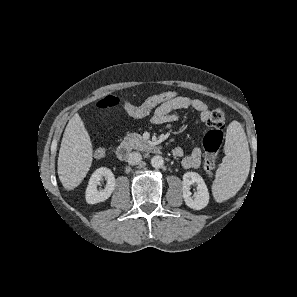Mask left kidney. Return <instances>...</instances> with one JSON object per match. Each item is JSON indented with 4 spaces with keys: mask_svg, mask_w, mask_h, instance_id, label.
Returning <instances> with one entry per match:
<instances>
[{
    "mask_svg": "<svg viewBox=\"0 0 297 297\" xmlns=\"http://www.w3.org/2000/svg\"><path fill=\"white\" fill-rule=\"evenodd\" d=\"M197 184V192L193 195L190 186ZM183 198L186 205L195 210H201L209 203V192L203 178L196 172H186L182 181Z\"/></svg>",
    "mask_w": 297,
    "mask_h": 297,
    "instance_id": "left-kidney-1",
    "label": "left kidney"
}]
</instances>
